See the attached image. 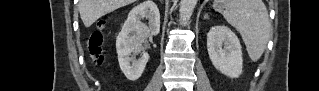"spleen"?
<instances>
[{
	"mask_svg": "<svg viewBox=\"0 0 319 91\" xmlns=\"http://www.w3.org/2000/svg\"><path fill=\"white\" fill-rule=\"evenodd\" d=\"M213 7L241 34L250 59L258 61L271 31L268 11L262 0L215 1Z\"/></svg>",
	"mask_w": 319,
	"mask_h": 91,
	"instance_id": "spleen-1",
	"label": "spleen"
}]
</instances>
